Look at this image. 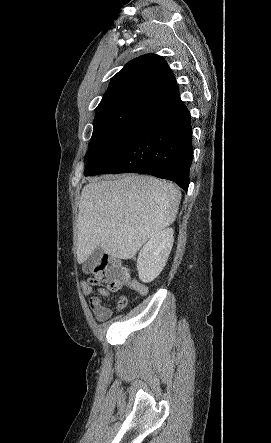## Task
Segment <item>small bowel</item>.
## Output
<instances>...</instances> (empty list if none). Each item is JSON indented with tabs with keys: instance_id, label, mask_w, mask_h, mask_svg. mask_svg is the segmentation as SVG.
I'll use <instances>...</instances> for the list:
<instances>
[{
	"instance_id": "small-bowel-1",
	"label": "small bowel",
	"mask_w": 271,
	"mask_h": 443,
	"mask_svg": "<svg viewBox=\"0 0 271 443\" xmlns=\"http://www.w3.org/2000/svg\"><path fill=\"white\" fill-rule=\"evenodd\" d=\"M80 286L84 294L90 295V298L88 299V304L90 309L94 313L96 320L98 322H103L109 319L113 315L114 311L111 308L104 305L101 297L94 295V288L86 281H82L80 283ZM133 288L141 295H144L147 292L145 287H142L137 284H133ZM97 291L101 296L104 297L109 296V292L105 289L99 288L97 289ZM126 305H127L126 298L121 297L115 307V311L119 312L123 310L126 307Z\"/></svg>"
}]
</instances>
